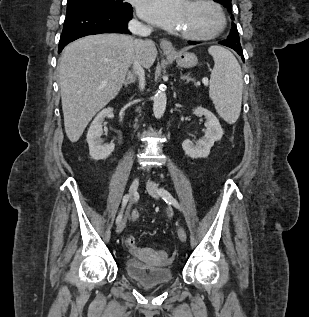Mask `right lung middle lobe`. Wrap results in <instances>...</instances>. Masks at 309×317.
Here are the masks:
<instances>
[{
	"label": "right lung middle lobe",
	"mask_w": 309,
	"mask_h": 317,
	"mask_svg": "<svg viewBox=\"0 0 309 317\" xmlns=\"http://www.w3.org/2000/svg\"><path fill=\"white\" fill-rule=\"evenodd\" d=\"M67 6H89L118 11H132V6L123 0H68Z\"/></svg>",
	"instance_id": "1"
}]
</instances>
